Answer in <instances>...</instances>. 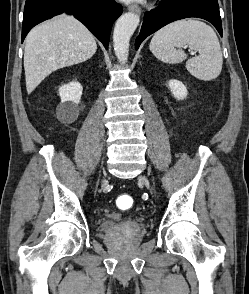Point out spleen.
Listing matches in <instances>:
<instances>
[{
    "label": "spleen",
    "instance_id": "3e777b00",
    "mask_svg": "<svg viewBox=\"0 0 249 294\" xmlns=\"http://www.w3.org/2000/svg\"><path fill=\"white\" fill-rule=\"evenodd\" d=\"M184 46L199 53L186 62L191 75L203 81L219 76L223 65L220 43L214 30L202 21L181 19L166 25L154 34L149 48L162 62L177 64L187 59L181 49Z\"/></svg>",
    "mask_w": 249,
    "mask_h": 294
}]
</instances>
